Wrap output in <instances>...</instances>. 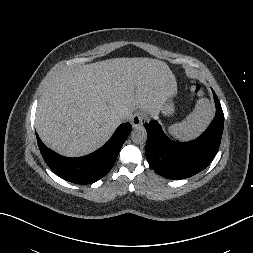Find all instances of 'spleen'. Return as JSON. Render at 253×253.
Listing matches in <instances>:
<instances>
[{
  "label": "spleen",
  "instance_id": "obj_1",
  "mask_svg": "<svg viewBox=\"0 0 253 253\" xmlns=\"http://www.w3.org/2000/svg\"><path fill=\"white\" fill-rule=\"evenodd\" d=\"M213 107L208 99L197 101L194 110L182 121L168 128V133L179 141H189L198 137L211 123Z\"/></svg>",
  "mask_w": 253,
  "mask_h": 253
}]
</instances>
